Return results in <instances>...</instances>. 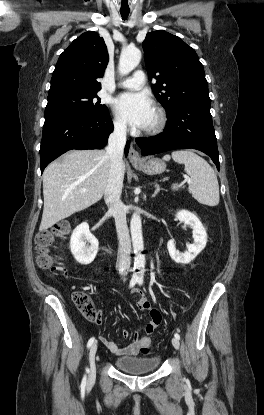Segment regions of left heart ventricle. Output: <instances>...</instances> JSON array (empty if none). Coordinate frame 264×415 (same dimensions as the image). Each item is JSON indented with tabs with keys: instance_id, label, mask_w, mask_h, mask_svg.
<instances>
[{
	"instance_id": "b2bd125f",
	"label": "left heart ventricle",
	"mask_w": 264,
	"mask_h": 415,
	"mask_svg": "<svg viewBox=\"0 0 264 415\" xmlns=\"http://www.w3.org/2000/svg\"><path fill=\"white\" fill-rule=\"evenodd\" d=\"M155 120H156V114L154 112L146 127L152 126L154 124Z\"/></svg>"
}]
</instances>
